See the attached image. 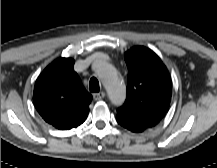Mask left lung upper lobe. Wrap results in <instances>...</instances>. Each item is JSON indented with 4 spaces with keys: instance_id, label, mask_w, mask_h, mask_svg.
Instances as JSON below:
<instances>
[{
    "instance_id": "obj_1",
    "label": "left lung upper lobe",
    "mask_w": 217,
    "mask_h": 168,
    "mask_svg": "<svg viewBox=\"0 0 217 168\" xmlns=\"http://www.w3.org/2000/svg\"><path fill=\"white\" fill-rule=\"evenodd\" d=\"M128 68L126 101L116 120L139 133L156 126L166 115L172 95L169 72L150 49L136 46L125 53Z\"/></svg>"
}]
</instances>
